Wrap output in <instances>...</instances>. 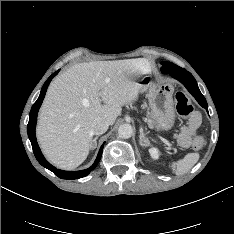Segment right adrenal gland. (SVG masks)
<instances>
[{
    "mask_svg": "<svg viewBox=\"0 0 234 234\" xmlns=\"http://www.w3.org/2000/svg\"><path fill=\"white\" fill-rule=\"evenodd\" d=\"M98 137H95L92 141H91V148H94L96 146V141H97Z\"/></svg>",
    "mask_w": 234,
    "mask_h": 234,
    "instance_id": "right-adrenal-gland-1",
    "label": "right adrenal gland"
}]
</instances>
